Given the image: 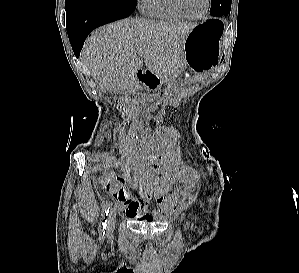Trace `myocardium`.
<instances>
[{
  "label": "myocardium",
  "instance_id": "obj_1",
  "mask_svg": "<svg viewBox=\"0 0 299 273\" xmlns=\"http://www.w3.org/2000/svg\"><path fill=\"white\" fill-rule=\"evenodd\" d=\"M173 1H174L176 8L178 9V11L181 14H183L186 18L191 19V20H200V19L204 18L209 10V7H210V0H206V6H205L203 13L199 16H192L186 12V10L184 9V7L182 5L181 0H173Z\"/></svg>",
  "mask_w": 299,
  "mask_h": 273
}]
</instances>
